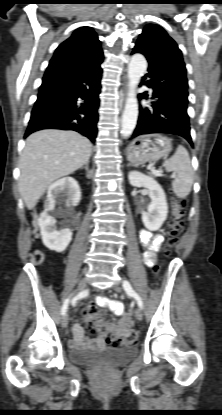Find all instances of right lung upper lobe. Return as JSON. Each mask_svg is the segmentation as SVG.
<instances>
[{
    "label": "right lung upper lobe",
    "mask_w": 222,
    "mask_h": 415,
    "mask_svg": "<svg viewBox=\"0 0 222 415\" xmlns=\"http://www.w3.org/2000/svg\"><path fill=\"white\" fill-rule=\"evenodd\" d=\"M102 59L97 34L90 27H81L58 46L50 63L87 65Z\"/></svg>",
    "instance_id": "obj_1"
}]
</instances>
